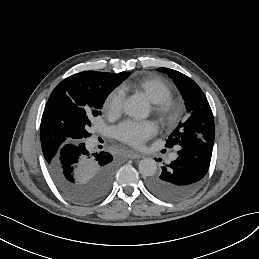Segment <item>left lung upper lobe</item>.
I'll list each match as a JSON object with an SVG mask.
<instances>
[{
  "label": "left lung upper lobe",
  "instance_id": "left-lung-upper-lobe-1",
  "mask_svg": "<svg viewBox=\"0 0 259 259\" xmlns=\"http://www.w3.org/2000/svg\"><path fill=\"white\" fill-rule=\"evenodd\" d=\"M158 71L173 79L183 96L187 112L190 113L189 118L171 133L165 146L178 148L191 138L189 134H194L208 143H214V118L201 88L192 79L176 70L161 67Z\"/></svg>",
  "mask_w": 259,
  "mask_h": 259
}]
</instances>
